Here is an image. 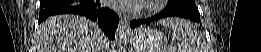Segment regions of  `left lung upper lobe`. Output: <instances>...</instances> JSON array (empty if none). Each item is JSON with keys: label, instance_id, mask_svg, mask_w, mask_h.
I'll list each match as a JSON object with an SVG mask.
<instances>
[{"label": "left lung upper lobe", "instance_id": "1", "mask_svg": "<svg viewBox=\"0 0 261 52\" xmlns=\"http://www.w3.org/2000/svg\"><path fill=\"white\" fill-rule=\"evenodd\" d=\"M167 8H185L199 15L194 0H169Z\"/></svg>", "mask_w": 261, "mask_h": 52}]
</instances>
